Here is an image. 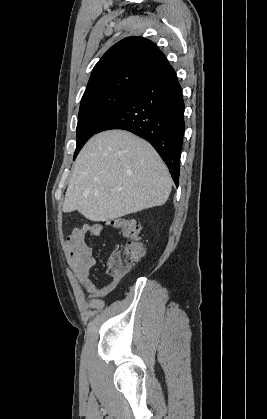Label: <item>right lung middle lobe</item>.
I'll return each mask as SVG.
<instances>
[{"instance_id": "right-lung-middle-lobe-1", "label": "right lung middle lobe", "mask_w": 267, "mask_h": 419, "mask_svg": "<svg viewBox=\"0 0 267 419\" xmlns=\"http://www.w3.org/2000/svg\"><path fill=\"white\" fill-rule=\"evenodd\" d=\"M138 87L99 92L82 98L77 124V145L74 159L100 126L136 91Z\"/></svg>"}]
</instances>
